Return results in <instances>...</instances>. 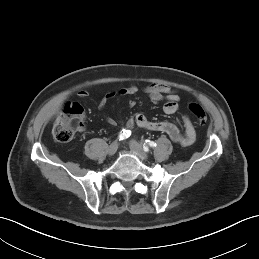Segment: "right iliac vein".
<instances>
[{
	"label": "right iliac vein",
	"instance_id": "63e3f726",
	"mask_svg": "<svg viewBox=\"0 0 259 259\" xmlns=\"http://www.w3.org/2000/svg\"><path fill=\"white\" fill-rule=\"evenodd\" d=\"M117 149H118V142L114 141L108 147V150H107L108 155L109 156H113L117 152Z\"/></svg>",
	"mask_w": 259,
	"mask_h": 259
}]
</instances>
